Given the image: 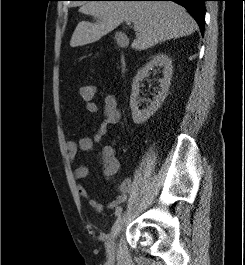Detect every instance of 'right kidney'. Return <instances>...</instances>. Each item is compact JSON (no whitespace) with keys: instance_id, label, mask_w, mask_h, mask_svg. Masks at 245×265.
Wrapping results in <instances>:
<instances>
[{"instance_id":"right-kidney-1","label":"right kidney","mask_w":245,"mask_h":265,"mask_svg":"<svg viewBox=\"0 0 245 265\" xmlns=\"http://www.w3.org/2000/svg\"><path fill=\"white\" fill-rule=\"evenodd\" d=\"M154 67H163L164 77L159 80L160 91H158V94L154 96L147 108L140 110V86L143 79L149 76V71ZM172 68L171 59L167 55L159 53L153 56V58L146 63L145 66L140 69L134 77L130 96V108L132 111V119L135 124H143L157 111L158 108H160L170 87V80L173 73Z\"/></svg>"}]
</instances>
